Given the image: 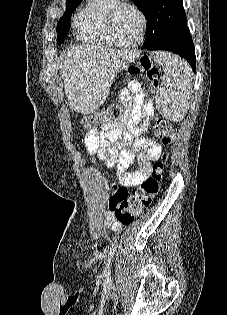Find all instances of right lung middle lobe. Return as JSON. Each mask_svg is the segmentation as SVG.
<instances>
[{
    "label": "right lung middle lobe",
    "instance_id": "dd1d6c3e",
    "mask_svg": "<svg viewBox=\"0 0 227 315\" xmlns=\"http://www.w3.org/2000/svg\"><path fill=\"white\" fill-rule=\"evenodd\" d=\"M82 0L78 1H68L67 2V10L65 14L62 16V18L59 20L58 26H57V43L60 45L64 39V37L67 35L70 27V19H71V13L73 10H75L78 5L81 3Z\"/></svg>",
    "mask_w": 227,
    "mask_h": 315
}]
</instances>
